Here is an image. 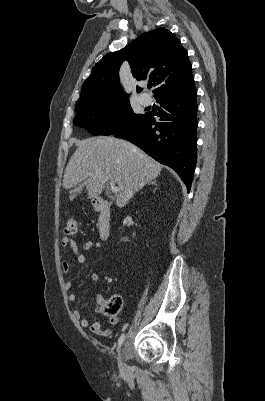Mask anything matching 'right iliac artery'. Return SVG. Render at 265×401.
<instances>
[{
	"instance_id": "obj_1",
	"label": "right iliac artery",
	"mask_w": 265,
	"mask_h": 401,
	"mask_svg": "<svg viewBox=\"0 0 265 401\" xmlns=\"http://www.w3.org/2000/svg\"><path fill=\"white\" fill-rule=\"evenodd\" d=\"M124 340H125V333L121 334V336L118 339V350L121 348Z\"/></svg>"
}]
</instances>
